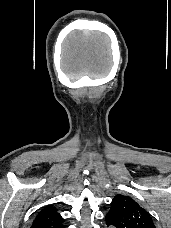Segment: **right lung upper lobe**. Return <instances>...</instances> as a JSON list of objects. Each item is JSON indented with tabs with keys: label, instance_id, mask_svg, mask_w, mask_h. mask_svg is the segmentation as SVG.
I'll return each instance as SVG.
<instances>
[{
	"label": "right lung upper lobe",
	"instance_id": "1",
	"mask_svg": "<svg viewBox=\"0 0 171 228\" xmlns=\"http://www.w3.org/2000/svg\"><path fill=\"white\" fill-rule=\"evenodd\" d=\"M62 217L52 206H46L35 217L30 228H63Z\"/></svg>",
	"mask_w": 171,
	"mask_h": 228
}]
</instances>
